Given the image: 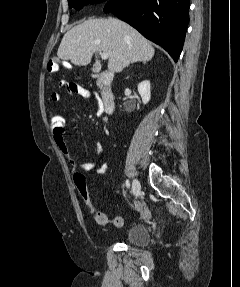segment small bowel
Here are the masks:
<instances>
[{"label": "small bowel", "instance_id": "1", "mask_svg": "<svg viewBox=\"0 0 240 287\" xmlns=\"http://www.w3.org/2000/svg\"><path fill=\"white\" fill-rule=\"evenodd\" d=\"M69 93L71 95H79L81 97L84 98H93L96 100L97 102V108H98V114H102L103 112V105L101 103V101L99 100L98 96L96 93L91 92L81 86H76L73 89H68ZM50 99L53 103H59L62 100V95L58 92H53L50 96ZM53 140L56 144V146L59 148V150L65 155V157L67 158V161L69 162V164L72 167V171L76 172L78 169L83 170V171H93L96 169L99 160H100V156L102 153V146L99 142H97L96 144V156L95 159L89 162H79L76 155H74L66 141L64 138V134L62 135H55L53 134ZM109 163L108 162H104L102 164L101 167H99L98 169H96L95 171V175L97 176H106L109 173ZM137 211L139 213V215L143 218L146 219L149 217V210L147 207L143 206V205H138L137 206Z\"/></svg>", "mask_w": 240, "mask_h": 287}]
</instances>
